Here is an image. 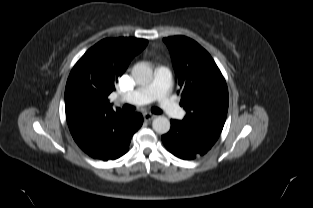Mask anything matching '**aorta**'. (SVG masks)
<instances>
[{
	"label": "aorta",
	"mask_w": 313,
	"mask_h": 208,
	"mask_svg": "<svg viewBox=\"0 0 313 208\" xmlns=\"http://www.w3.org/2000/svg\"><path fill=\"white\" fill-rule=\"evenodd\" d=\"M131 73L135 81L140 85H147L153 80V71L144 62L135 64ZM170 126L169 119L164 116H157L152 122L153 130L158 134H166L170 130Z\"/></svg>",
	"instance_id": "762f6f07"
}]
</instances>
